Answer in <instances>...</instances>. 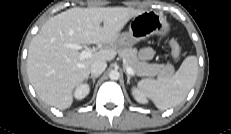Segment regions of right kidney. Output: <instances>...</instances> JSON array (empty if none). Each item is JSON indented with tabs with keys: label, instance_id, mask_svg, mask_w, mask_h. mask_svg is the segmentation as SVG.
I'll use <instances>...</instances> for the list:
<instances>
[{
	"label": "right kidney",
	"instance_id": "ca27d5eb",
	"mask_svg": "<svg viewBox=\"0 0 231 134\" xmlns=\"http://www.w3.org/2000/svg\"><path fill=\"white\" fill-rule=\"evenodd\" d=\"M89 91H90V88L87 84H80L75 89L74 96L76 99L81 100L89 94Z\"/></svg>",
	"mask_w": 231,
	"mask_h": 134
}]
</instances>
